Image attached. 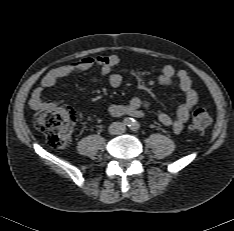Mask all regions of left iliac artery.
I'll list each match as a JSON object with an SVG mask.
<instances>
[{
	"instance_id": "obj_1",
	"label": "left iliac artery",
	"mask_w": 234,
	"mask_h": 231,
	"mask_svg": "<svg viewBox=\"0 0 234 231\" xmlns=\"http://www.w3.org/2000/svg\"><path fill=\"white\" fill-rule=\"evenodd\" d=\"M138 128H139V124H138L137 122H134L133 125H132V127H131V129H132L133 131H137Z\"/></svg>"
}]
</instances>
